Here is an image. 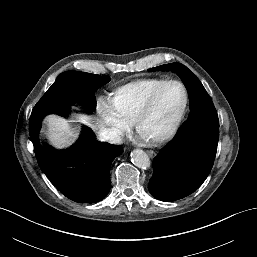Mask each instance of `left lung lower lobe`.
Here are the masks:
<instances>
[{
    "instance_id": "1",
    "label": "left lung lower lobe",
    "mask_w": 257,
    "mask_h": 257,
    "mask_svg": "<svg viewBox=\"0 0 257 257\" xmlns=\"http://www.w3.org/2000/svg\"><path fill=\"white\" fill-rule=\"evenodd\" d=\"M218 138L219 129L206 127L197 135L172 139L153 161L150 193L171 202L198 189L213 166Z\"/></svg>"
}]
</instances>
